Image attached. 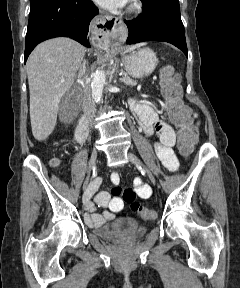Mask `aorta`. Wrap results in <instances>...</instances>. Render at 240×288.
Returning a JSON list of instances; mask_svg holds the SVG:
<instances>
[{"label": "aorta", "instance_id": "aorta-1", "mask_svg": "<svg viewBox=\"0 0 240 288\" xmlns=\"http://www.w3.org/2000/svg\"><path fill=\"white\" fill-rule=\"evenodd\" d=\"M105 80V72L96 71L92 80V97L97 103L101 101Z\"/></svg>", "mask_w": 240, "mask_h": 288}]
</instances>
